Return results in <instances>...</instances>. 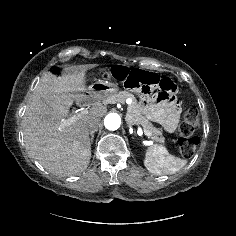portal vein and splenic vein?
<instances>
[{
  "instance_id": "portal-vein-and-splenic-vein-1",
  "label": "portal vein and splenic vein",
  "mask_w": 236,
  "mask_h": 236,
  "mask_svg": "<svg viewBox=\"0 0 236 236\" xmlns=\"http://www.w3.org/2000/svg\"><path fill=\"white\" fill-rule=\"evenodd\" d=\"M85 114H87V110H82L79 114L73 115L68 119H63L61 121V126L62 127L69 126V125L73 124L74 122H76L78 119H80ZM137 125H138V132L143 133L142 127L138 123H137ZM144 134L146 136L150 135V133L146 132V131H144Z\"/></svg>"
}]
</instances>
